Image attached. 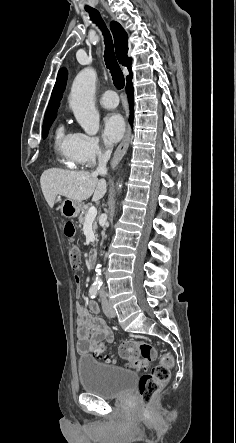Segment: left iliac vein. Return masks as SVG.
Segmentation results:
<instances>
[{"instance_id": "obj_1", "label": "left iliac vein", "mask_w": 236, "mask_h": 443, "mask_svg": "<svg viewBox=\"0 0 236 443\" xmlns=\"http://www.w3.org/2000/svg\"><path fill=\"white\" fill-rule=\"evenodd\" d=\"M103 312L107 317L113 318L116 316L114 308L112 307V305L109 304L103 306Z\"/></svg>"}]
</instances>
